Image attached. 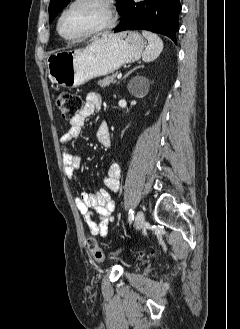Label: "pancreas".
Returning a JSON list of instances; mask_svg holds the SVG:
<instances>
[{
  "mask_svg": "<svg viewBox=\"0 0 240 329\" xmlns=\"http://www.w3.org/2000/svg\"><path fill=\"white\" fill-rule=\"evenodd\" d=\"M116 76H117V73H114V74H112L110 76H107V77L99 80L98 81V85H100L101 87L109 86L111 83H115L116 82V80H115Z\"/></svg>",
  "mask_w": 240,
  "mask_h": 329,
  "instance_id": "obj_1",
  "label": "pancreas"
}]
</instances>
